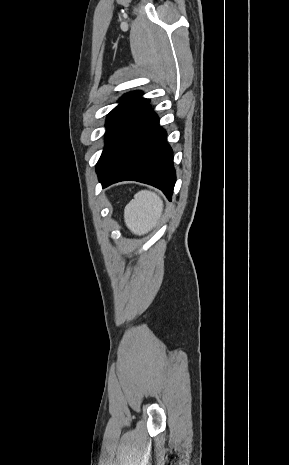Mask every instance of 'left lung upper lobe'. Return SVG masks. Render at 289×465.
<instances>
[{
	"instance_id": "1",
	"label": "left lung upper lobe",
	"mask_w": 289,
	"mask_h": 465,
	"mask_svg": "<svg viewBox=\"0 0 289 465\" xmlns=\"http://www.w3.org/2000/svg\"><path fill=\"white\" fill-rule=\"evenodd\" d=\"M141 96L142 92L140 91L125 94L120 99V104L108 114L106 121V145L97 166L122 141L142 111L149 105L150 100L144 99Z\"/></svg>"
}]
</instances>
